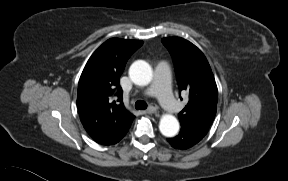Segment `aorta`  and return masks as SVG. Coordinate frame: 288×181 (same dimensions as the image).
I'll use <instances>...</instances> for the list:
<instances>
[{
    "label": "aorta",
    "mask_w": 288,
    "mask_h": 181,
    "mask_svg": "<svg viewBox=\"0 0 288 181\" xmlns=\"http://www.w3.org/2000/svg\"><path fill=\"white\" fill-rule=\"evenodd\" d=\"M152 68L143 60L135 61L129 69V77L132 82L139 86H146L152 80ZM160 132L166 137H173L179 131V122L175 116L165 114L159 122Z\"/></svg>",
    "instance_id": "obj_1"
}]
</instances>
